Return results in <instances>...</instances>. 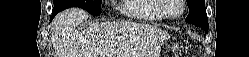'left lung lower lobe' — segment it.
<instances>
[{
    "instance_id": "left-lung-lower-lobe-1",
    "label": "left lung lower lobe",
    "mask_w": 249,
    "mask_h": 57,
    "mask_svg": "<svg viewBox=\"0 0 249 57\" xmlns=\"http://www.w3.org/2000/svg\"><path fill=\"white\" fill-rule=\"evenodd\" d=\"M200 27H202L205 30V32L208 31V26H200Z\"/></svg>"
}]
</instances>
